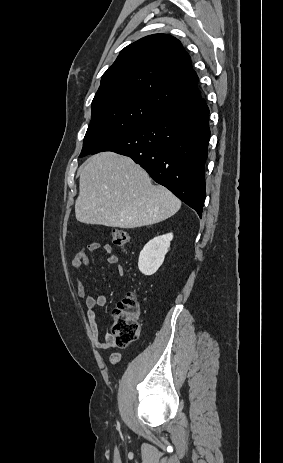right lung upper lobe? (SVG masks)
Wrapping results in <instances>:
<instances>
[{
	"label": "right lung upper lobe",
	"instance_id": "1",
	"mask_svg": "<svg viewBox=\"0 0 283 463\" xmlns=\"http://www.w3.org/2000/svg\"><path fill=\"white\" fill-rule=\"evenodd\" d=\"M190 56L176 38L146 36L125 47L103 74L95 96L125 92L160 109L200 96Z\"/></svg>",
	"mask_w": 283,
	"mask_h": 463
}]
</instances>
